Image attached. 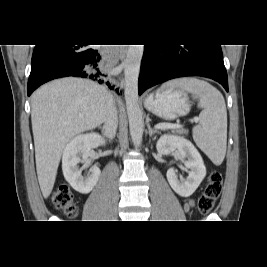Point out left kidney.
Segmentation results:
<instances>
[{"label": "left kidney", "instance_id": "1", "mask_svg": "<svg viewBox=\"0 0 267 267\" xmlns=\"http://www.w3.org/2000/svg\"><path fill=\"white\" fill-rule=\"evenodd\" d=\"M156 148L161 154H169L177 149L180 158L184 159V166L190 171L186 179L182 180L178 178L176 170L170 168L166 174L167 180L178 195L191 196L206 176V167L198 150L189 140L168 134L159 138Z\"/></svg>", "mask_w": 267, "mask_h": 267}]
</instances>
